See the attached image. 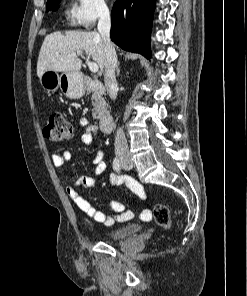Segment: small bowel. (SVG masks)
Returning <instances> with one entry per match:
<instances>
[{"mask_svg": "<svg viewBox=\"0 0 247 296\" xmlns=\"http://www.w3.org/2000/svg\"><path fill=\"white\" fill-rule=\"evenodd\" d=\"M79 122L83 128V134L81 137L82 143L86 146L93 147L95 144V135L98 132V126L89 121L86 117H81ZM71 153L67 150L63 151L61 154H53L52 162L56 168H62L69 161ZM94 173L96 175L102 174L106 170V163L104 161V155L99 147L95 148V156L93 159ZM108 181L111 185L119 186L125 185L133 193L144 197L145 192L143 187L134 178L129 176L110 174ZM64 183L66 185V193L69 198L77 205V207L86 214L92 220L101 223L105 226H113L115 223H123L131 220L134 217V212L132 209H126L122 203L115 200H110L108 206L115 212L114 215H107L104 212L93 207L87 200H85L79 194V188H91L95 184V180L91 176H81L73 181L64 177ZM150 215L148 210H143L141 213V218L144 215ZM150 218V217H149ZM147 218V219H149ZM145 219V220H147Z\"/></svg>", "mask_w": 247, "mask_h": 296, "instance_id": "obj_1", "label": "small bowel"}]
</instances>
